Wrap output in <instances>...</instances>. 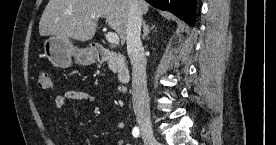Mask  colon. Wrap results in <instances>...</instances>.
<instances>
[{"label": "colon", "mask_w": 276, "mask_h": 145, "mask_svg": "<svg viewBox=\"0 0 276 145\" xmlns=\"http://www.w3.org/2000/svg\"><path fill=\"white\" fill-rule=\"evenodd\" d=\"M37 87L43 90H49L53 87L52 78L49 72L41 71L37 77Z\"/></svg>", "instance_id": "5ec220e1"}]
</instances>
